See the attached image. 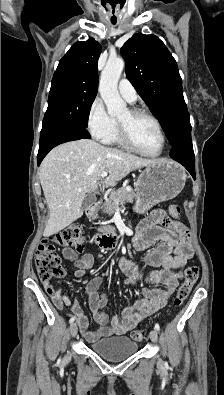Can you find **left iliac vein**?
Returning <instances> with one entry per match:
<instances>
[{"label": "left iliac vein", "instance_id": "4c4485c4", "mask_svg": "<svg viewBox=\"0 0 224 395\" xmlns=\"http://www.w3.org/2000/svg\"><path fill=\"white\" fill-rule=\"evenodd\" d=\"M149 336H150V339H151L152 342H154V343L157 342V340H158V333H157V331L155 329H152L150 331Z\"/></svg>", "mask_w": 224, "mask_h": 395}]
</instances>
